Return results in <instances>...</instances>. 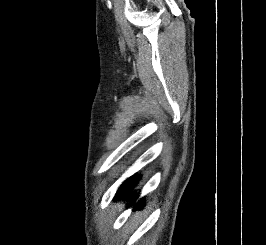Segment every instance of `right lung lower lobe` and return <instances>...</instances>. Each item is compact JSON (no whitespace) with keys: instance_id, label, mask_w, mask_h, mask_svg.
Here are the masks:
<instances>
[{"instance_id":"98d812e1","label":"right lung lower lobe","mask_w":266,"mask_h":245,"mask_svg":"<svg viewBox=\"0 0 266 245\" xmlns=\"http://www.w3.org/2000/svg\"><path fill=\"white\" fill-rule=\"evenodd\" d=\"M137 181L136 178L131 177L129 178L127 181L124 182V184L120 187V189L118 190L115 198H118V199H126L127 201L130 200V204L129 205H132L134 200L137 198V195L134 194L135 196H133L132 198L129 197L131 196V189L133 188V186L135 185V182ZM145 202L144 200H140L138 202V204L135 206V208H141L142 205H144Z\"/></svg>"}]
</instances>
